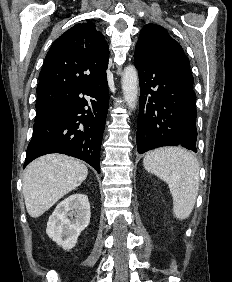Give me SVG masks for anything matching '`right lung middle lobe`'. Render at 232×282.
Returning <instances> with one entry per match:
<instances>
[{
  "mask_svg": "<svg viewBox=\"0 0 232 282\" xmlns=\"http://www.w3.org/2000/svg\"><path fill=\"white\" fill-rule=\"evenodd\" d=\"M37 102H36V117L35 120L41 119L60 104L65 96L56 93V92H42L37 93Z\"/></svg>",
  "mask_w": 232,
  "mask_h": 282,
  "instance_id": "obj_1",
  "label": "right lung middle lobe"
}]
</instances>
